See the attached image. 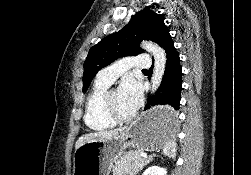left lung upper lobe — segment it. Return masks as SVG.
Returning <instances> with one entry per match:
<instances>
[{
    "label": "left lung upper lobe",
    "instance_id": "1",
    "mask_svg": "<svg viewBox=\"0 0 251 175\" xmlns=\"http://www.w3.org/2000/svg\"><path fill=\"white\" fill-rule=\"evenodd\" d=\"M163 19L162 15L143 9L120 31L103 38L91 47L84 62L83 92L88 89L100 69L119 57L142 53L143 50L139 47L142 40H151L160 45L169 32Z\"/></svg>",
    "mask_w": 251,
    "mask_h": 175
}]
</instances>
